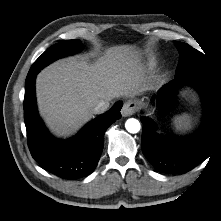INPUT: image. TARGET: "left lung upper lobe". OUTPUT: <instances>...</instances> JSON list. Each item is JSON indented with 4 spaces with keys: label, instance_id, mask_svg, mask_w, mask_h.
Instances as JSON below:
<instances>
[{
    "label": "left lung upper lobe",
    "instance_id": "obj_1",
    "mask_svg": "<svg viewBox=\"0 0 221 221\" xmlns=\"http://www.w3.org/2000/svg\"><path fill=\"white\" fill-rule=\"evenodd\" d=\"M175 46L180 54L175 76L201 75L221 86L220 79L201 52L182 42H175Z\"/></svg>",
    "mask_w": 221,
    "mask_h": 221
}]
</instances>
